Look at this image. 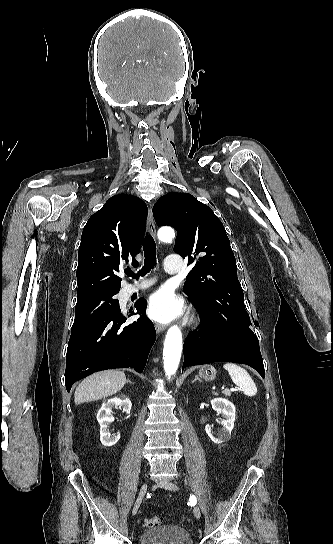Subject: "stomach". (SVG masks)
I'll use <instances>...</instances> for the list:
<instances>
[{
  "instance_id": "obj_1",
  "label": "stomach",
  "mask_w": 333,
  "mask_h": 544,
  "mask_svg": "<svg viewBox=\"0 0 333 544\" xmlns=\"http://www.w3.org/2000/svg\"><path fill=\"white\" fill-rule=\"evenodd\" d=\"M199 375L202 379L206 381H212L216 377V370L211 365H205L200 369Z\"/></svg>"
}]
</instances>
